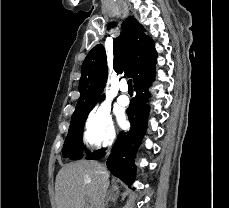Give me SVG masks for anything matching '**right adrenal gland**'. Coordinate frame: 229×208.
<instances>
[{"mask_svg": "<svg viewBox=\"0 0 229 208\" xmlns=\"http://www.w3.org/2000/svg\"><path fill=\"white\" fill-rule=\"evenodd\" d=\"M118 192H114V190H110V192H107V202L105 204L106 208L109 204V202H116L118 196Z\"/></svg>", "mask_w": 229, "mask_h": 208, "instance_id": "obj_1", "label": "right adrenal gland"}]
</instances>
